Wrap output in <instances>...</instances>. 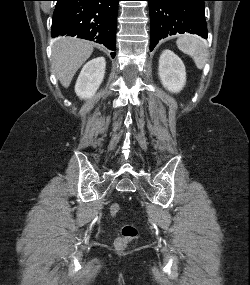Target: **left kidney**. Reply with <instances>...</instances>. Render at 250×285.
<instances>
[{
  "mask_svg": "<svg viewBox=\"0 0 250 285\" xmlns=\"http://www.w3.org/2000/svg\"><path fill=\"white\" fill-rule=\"evenodd\" d=\"M158 75L163 87L171 93H179L186 84V70L182 60L168 49L160 55Z\"/></svg>",
  "mask_w": 250,
  "mask_h": 285,
  "instance_id": "5707ae66",
  "label": "left kidney"
}]
</instances>
